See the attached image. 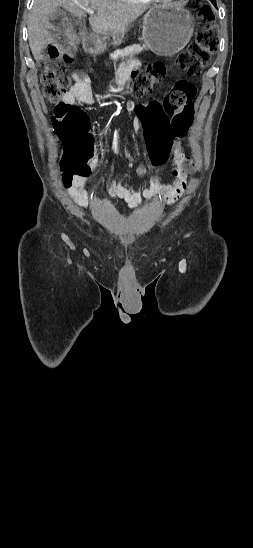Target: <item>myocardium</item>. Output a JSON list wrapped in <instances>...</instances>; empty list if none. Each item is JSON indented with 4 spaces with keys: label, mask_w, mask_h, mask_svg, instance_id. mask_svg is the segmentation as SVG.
Here are the masks:
<instances>
[{
    "label": "myocardium",
    "mask_w": 253,
    "mask_h": 548,
    "mask_svg": "<svg viewBox=\"0 0 253 548\" xmlns=\"http://www.w3.org/2000/svg\"><path fill=\"white\" fill-rule=\"evenodd\" d=\"M152 1L163 2V3H169V2H172V1H174V0H152Z\"/></svg>",
    "instance_id": "f54148a6"
}]
</instances>
